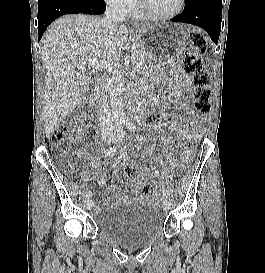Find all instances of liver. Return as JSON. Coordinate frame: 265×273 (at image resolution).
<instances>
[{"label":"liver","mask_w":265,"mask_h":273,"mask_svg":"<svg viewBox=\"0 0 265 273\" xmlns=\"http://www.w3.org/2000/svg\"><path fill=\"white\" fill-rule=\"evenodd\" d=\"M101 20L83 14L65 15L55 20L44 33L43 118L48 138L84 99L92 82L86 68L89 59L117 62L129 33L150 27L135 25V29H129L121 25L110 31Z\"/></svg>","instance_id":"liver-1"}]
</instances>
